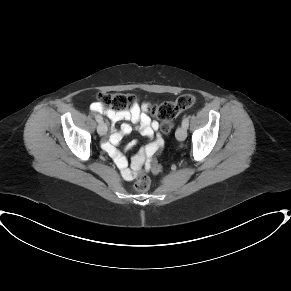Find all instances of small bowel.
<instances>
[{
	"label": "small bowel",
	"mask_w": 291,
	"mask_h": 291,
	"mask_svg": "<svg viewBox=\"0 0 291 291\" xmlns=\"http://www.w3.org/2000/svg\"><path fill=\"white\" fill-rule=\"evenodd\" d=\"M91 110L95 112H101L111 122L119 121H131L137 125L139 132L150 140V143L140 151L133 159L131 165H128V161L119 153L116 145L120 142L124 135L131 132V125L124 122L119 130L112 131L109 139L104 142V149L113 157L115 163L120 169L121 176L126 181L134 180L139 174L142 164L144 163V169L148 171L150 169L149 158L157 151L161 150L164 145V140L159 134L158 122L152 120L149 116V105L147 102H135L129 109L115 110V109H103L98 103L91 105ZM135 142L127 145L126 149L133 148Z\"/></svg>",
	"instance_id": "obj_1"
}]
</instances>
